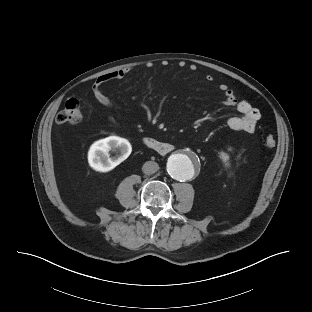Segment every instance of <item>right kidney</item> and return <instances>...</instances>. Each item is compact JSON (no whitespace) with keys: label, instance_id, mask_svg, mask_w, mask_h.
I'll return each instance as SVG.
<instances>
[{"label":"right kidney","instance_id":"ca27d5eb","mask_svg":"<svg viewBox=\"0 0 312 312\" xmlns=\"http://www.w3.org/2000/svg\"><path fill=\"white\" fill-rule=\"evenodd\" d=\"M119 151V158L126 159L132 151L131 144L127 139L118 136H109L107 138L94 142L88 151V163L98 172H107L114 166L113 160L109 158V151Z\"/></svg>","mask_w":312,"mask_h":312}]
</instances>
